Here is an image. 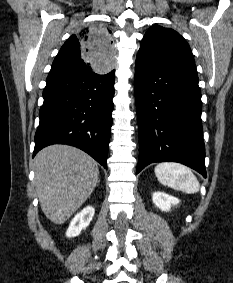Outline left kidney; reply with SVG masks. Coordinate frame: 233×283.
<instances>
[{
    "mask_svg": "<svg viewBox=\"0 0 233 283\" xmlns=\"http://www.w3.org/2000/svg\"><path fill=\"white\" fill-rule=\"evenodd\" d=\"M153 203L162 211H169L171 205H177L179 200L164 192H155L152 196Z\"/></svg>",
    "mask_w": 233,
    "mask_h": 283,
    "instance_id": "left-kidney-1",
    "label": "left kidney"
}]
</instances>
